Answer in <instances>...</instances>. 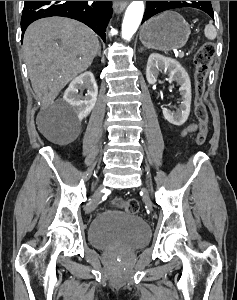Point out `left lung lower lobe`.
Returning a JSON list of instances; mask_svg holds the SVG:
<instances>
[{
    "label": "left lung lower lobe",
    "instance_id": "1",
    "mask_svg": "<svg viewBox=\"0 0 237 300\" xmlns=\"http://www.w3.org/2000/svg\"><path fill=\"white\" fill-rule=\"evenodd\" d=\"M210 5H211V1H210ZM207 14H209L213 19H214V15H213V9L212 7H208L205 11Z\"/></svg>",
    "mask_w": 237,
    "mask_h": 300
}]
</instances>
